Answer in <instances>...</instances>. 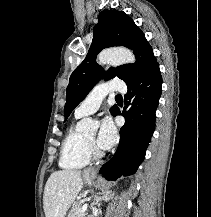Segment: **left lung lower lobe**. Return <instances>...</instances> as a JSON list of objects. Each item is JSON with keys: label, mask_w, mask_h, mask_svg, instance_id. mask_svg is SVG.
Returning a JSON list of instances; mask_svg holds the SVG:
<instances>
[{"label": "left lung lower lobe", "mask_w": 211, "mask_h": 217, "mask_svg": "<svg viewBox=\"0 0 211 217\" xmlns=\"http://www.w3.org/2000/svg\"><path fill=\"white\" fill-rule=\"evenodd\" d=\"M162 78L159 64L127 84L126 106L113 116L122 115L120 146L115 156L100 169L107 180L133 175L144 160L155 127V111L161 96Z\"/></svg>", "instance_id": "0a47b994"}]
</instances>
